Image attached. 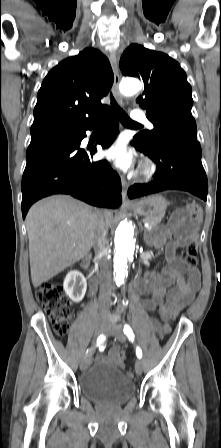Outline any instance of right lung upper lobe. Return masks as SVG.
I'll return each mask as SVG.
<instances>
[{"instance_id": "right-lung-upper-lobe-1", "label": "right lung upper lobe", "mask_w": 221, "mask_h": 448, "mask_svg": "<svg viewBox=\"0 0 221 448\" xmlns=\"http://www.w3.org/2000/svg\"><path fill=\"white\" fill-rule=\"evenodd\" d=\"M114 81L108 59L86 48L55 66L37 94L30 145L95 122L109 107L101 103Z\"/></svg>"}]
</instances>
